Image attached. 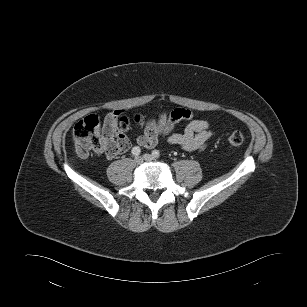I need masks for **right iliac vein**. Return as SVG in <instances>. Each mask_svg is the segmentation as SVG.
I'll use <instances>...</instances> for the list:
<instances>
[{"label": "right iliac vein", "mask_w": 307, "mask_h": 307, "mask_svg": "<svg viewBox=\"0 0 307 307\" xmlns=\"http://www.w3.org/2000/svg\"><path fill=\"white\" fill-rule=\"evenodd\" d=\"M134 161L137 165H140L143 163V158L138 156V157H135Z\"/></svg>", "instance_id": "1"}]
</instances>
